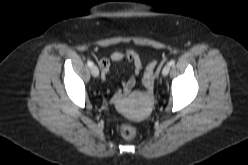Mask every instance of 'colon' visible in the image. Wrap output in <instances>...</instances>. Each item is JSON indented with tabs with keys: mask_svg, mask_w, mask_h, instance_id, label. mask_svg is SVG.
Segmentation results:
<instances>
[{
	"mask_svg": "<svg viewBox=\"0 0 248 165\" xmlns=\"http://www.w3.org/2000/svg\"><path fill=\"white\" fill-rule=\"evenodd\" d=\"M156 69L157 61L153 60L148 64L144 73L143 86L148 92L153 91ZM117 130L120 136L126 140H133L137 136V129L128 123H120Z\"/></svg>",
	"mask_w": 248,
	"mask_h": 165,
	"instance_id": "colon-1",
	"label": "colon"
}]
</instances>
